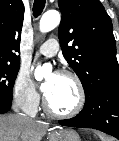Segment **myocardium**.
Listing matches in <instances>:
<instances>
[{
    "instance_id": "1",
    "label": "myocardium",
    "mask_w": 119,
    "mask_h": 141,
    "mask_svg": "<svg viewBox=\"0 0 119 141\" xmlns=\"http://www.w3.org/2000/svg\"><path fill=\"white\" fill-rule=\"evenodd\" d=\"M57 74L61 75V76L69 77L74 81L76 88H77V91H78L77 104L74 109H72L68 112H59V111L52 109L51 106L49 105L46 97H44L43 98L44 111L47 114H49L50 116L57 117V118H73V117L77 116L78 114H80L85 107V104H86L85 88L83 86L81 79L79 78V76L76 73H74L70 70H60L57 72Z\"/></svg>"
}]
</instances>
